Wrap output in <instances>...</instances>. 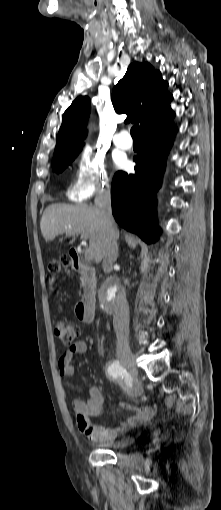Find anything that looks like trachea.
Listing matches in <instances>:
<instances>
[{"label":"trachea","instance_id":"trachea-1","mask_svg":"<svg viewBox=\"0 0 221 510\" xmlns=\"http://www.w3.org/2000/svg\"><path fill=\"white\" fill-rule=\"evenodd\" d=\"M131 136L133 140H139L140 134H139V125H135L131 128Z\"/></svg>","mask_w":221,"mask_h":510}]
</instances>
